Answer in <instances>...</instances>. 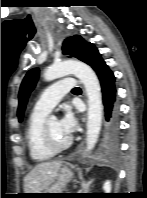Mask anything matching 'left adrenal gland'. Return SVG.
Listing matches in <instances>:
<instances>
[{
    "mask_svg": "<svg viewBox=\"0 0 147 198\" xmlns=\"http://www.w3.org/2000/svg\"><path fill=\"white\" fill-rule=\"evenodd\" d=\"M94 181V179H91L90 181H82L81 183V187H82V191L83 193H88L90 185L92 184V182Z\"/></svg>",
    "mask_w": 147,
    "mask_h": 198,
    "instance_id": "left-adrenal-gland-1",
    "label": "left adrenal gland"
}]
</instances>
